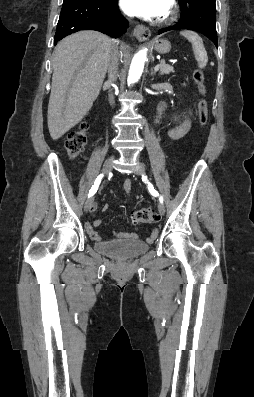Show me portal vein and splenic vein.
I'll list each match as a JSON object with an SVG mask.
<instances>
[{
  "label": "portal vein and splenic vein",
  "mask_w": 254,
  "mask_h": 397,
  "mask_svg": "<svg viewBox=\"0 0 254 397\" xmlns=\"http://www.w3.org/2000/svg\"><path fill=\"white\" fill-rule=\"evenodd\" d=\"M159 67H160V64H157V65L155 66V70L157 71V70L159 69Z\"/></svg>",
  "instance_id": "1"
}]
</instances>
